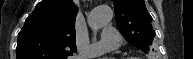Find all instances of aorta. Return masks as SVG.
I'll return each mask as SVG.
<instances>
[{
  "label": "aorta",
  "instance_id": "1",
  "mask_svg": "<svg viewBox=\"0 0 193 59\" xmlns=\"http://www.w3.org/2000/svg\"><path fill=\"white\" fill-rule=\"evenodd\" d=\"M113 18L111 7L103 5L94 8L88 16V24L92 30H97L107 25Z\"/></svg>",
  "mask_w": 193,
  "mask_h": 59
}]
</instances>
